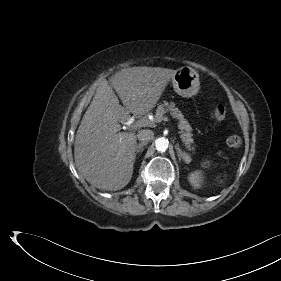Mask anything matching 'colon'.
<instances>
[{
	"label": "colon",
	"mask_w": 281,
	"mask_h": 281,
	"mask_svg": "<svg viewBox=\"0 0 281 281\" xmlns=\"http://www.w3.org/2000/svg\"><path fill=\"white\" fill-rule=\"evenodd\" d=\"M212 120L222 122L226 118V110L222 105H217L210 113ZM227 145L232 149H237L241 146V138L238 135H230L226 140Z\"/></svg>",
	"instance_id": "colon-1"
}]
</instances>
